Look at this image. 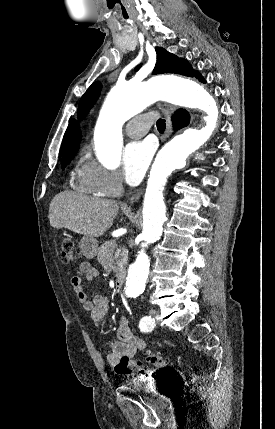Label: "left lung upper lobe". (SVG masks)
Masks as SVG:
<instances>
[{"label":"left lung upper lobe","mask_w":275,"mask_h":429,"mask_svg":"<svg viewBox=\"0 0 275 429\" xmlns=\"http://www.w3.org/2000/svg\"><path fill=\"white\" fill-rule=\"evenodd\" d=\"M157 53V62L153 70V74H163V73H176L190 77H196V73L187 60L178 58L176 55L169 53L161 47L155 48ZM140 66H137L135 70L137 71ZM101 90V84L99 82L93 83L88 90L82 96L79 107L78 115L79 117H84L95 100L99 97Z\"/></svg>","instance_id":"1"}]
</instances>
